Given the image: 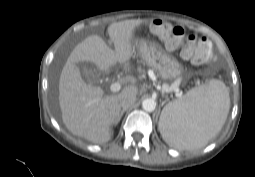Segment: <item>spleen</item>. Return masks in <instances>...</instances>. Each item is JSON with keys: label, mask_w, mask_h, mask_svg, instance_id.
<instances>
[{"label": "spleen", "mask_w": 255, "mask_h": 177, "mask_svg": "<svg viewBox=\"0 0 255 177\" xmlns=\"http://www.w3.org/2000/svg\"><path fill=\"white\" fill-rule=\"evenodd\" d=\"M229 109L225 84L211 80L168 103L162 111L159 130L165 142L175 148L202 147L221 130Z\"/></svg>", "instance_id": "obj_1"}]
</instances>
